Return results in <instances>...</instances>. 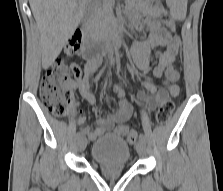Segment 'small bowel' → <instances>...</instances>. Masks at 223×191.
I'll return each instance as SVG.
<instances>
[{
  "mask_svg": "<svg viewBox=\"0 0 223 191\" xmlns=\"http://www.w3.org/2000/svg\"><path fill=\"white\" fill-rule=\"evenodd\" d=\"M161 9L158 6L151 8L149 18L145 23L150 32L148 37L133 45L131 53L135 66L140 71H145L149 66V57L152 49H158V63L151 70V75L154 78L164 77L166 88L157 89L151 81H144L143 87L151 94V97L144 99L145 108L147 111H152L159 102L167 96H178L180 91L176 82L179 79L177 70H168L167 66L176 62V57L179 48V39L177 36L166 31L160 23L159 15ZM101 63V57L95 61H88L84 66L83 76L73 83L72 86L78 89L83 98L90 104H95V96L90 91V78L96 73L98 66ZM115 92L119 99L117 102V112L106 117H101L97 120V127L94 130L83 126L87 122L85 117H80L76 120L77 125L81 126V131L89 140H95L105 133L111 131L116 124L125 123L133 116L132 105L123 97V90L120 85H115Z\"/></svg>",
  "mask_w": 223,
  "mask_h": 191,
  "instance_id": "1",
  "label": "small bowel"
}]
</instances>
